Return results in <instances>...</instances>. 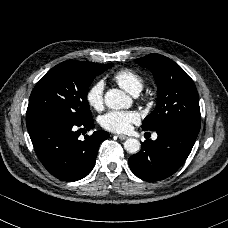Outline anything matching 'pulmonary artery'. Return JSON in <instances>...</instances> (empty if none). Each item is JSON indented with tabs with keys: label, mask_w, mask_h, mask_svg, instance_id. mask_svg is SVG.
Listing matches in <instances>:
<instances>
[{
	"label": "pulmonary artery",
	"mask_w": 228,
	"mask_h": 228,
	"mask_svg": "<svg viewBox=\"0 0 228 228\" xmlns=\"http://www.w3.org/2000/svg\"><path fill=\"white\" fill-rule=\"evenodd\" d=\"M157 138V135L155 134L154 136H153V139H156Z\"/></svg>",
	"instance_id": "obj_1"
}]
</instances>
